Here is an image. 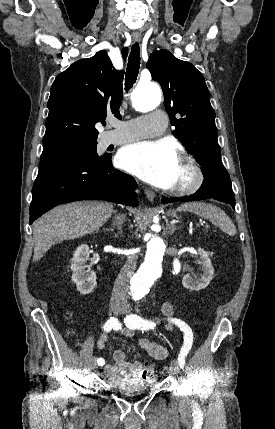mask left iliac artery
<instances>
[{"label": "left iliac artery", "instance_id": "1", "mask_svg": "<svg viewBox=\"0 0 275 429\" xmlns=\"http://www.w3.org/2000/svg\"><path fill=\"white\" fill-rule=\"evenodd\" d=\"M171 322L177 325L180 328V330L183 331L184 333V344L178 356V362L180 367L182 368L184 367V364H185V358L189 353L193 344V332L191 328L184 321L180 319L172 318ZM125 324L130 329L148 330V329H154L155 327L154 322L145 320L136 314H131L127 316L125 319Z\"/></svg>", "mask_w": 275, "mask_h": 429}]
</instances>
